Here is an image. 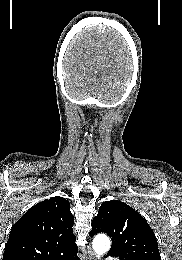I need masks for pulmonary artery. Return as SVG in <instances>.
Wrapping results in <instances>:
<instances>
[{"instance_id": "pulmonary-artery-1", "label": "pulmonary artery", "mask_w": 182, "mask_h": 260, "mask_svg": "<svg viewBox=\"0 0 182 260\" xmlns=\"http://www.w3.org/2000/svg\"><path fill=\"white\" fill-rule=\"evenodd\" d=\"M107 260H118V259H116L114 257H109Z\"/></svg>"}]
</instances>
